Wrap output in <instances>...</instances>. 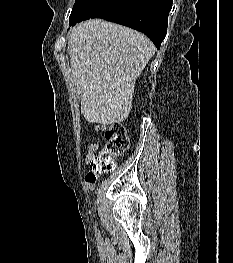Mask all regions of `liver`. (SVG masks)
Masks as SVG:
<instances>
[{"instance_id":"liver-1","label":"liver","mask_w":233,"mask_h":263,"mask_svg":"<svg viewBox=\"0 0 233 263\" xmlns=\"http://www.w3.org/2000/svg\"><path fill=\"white\" fill-rule=\"evenodd\" d=\"M68 53L84 118L102 125L123 122L132 109L135 82L155 53L150 39L131 28L92 19L71 30Z\"/></svg>"}]
</instances>
